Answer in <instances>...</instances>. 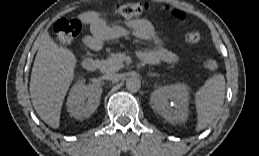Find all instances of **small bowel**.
Returning a JSON list of instances; mask_svg holds the SVG:
<instances>
[{"label":"small bowel","instance_id":"c3829d8e","mask_svg":"<svg viewBox=\"0 0 259 156\" xmlns=\"http://www.w3.org/2000/svg\"><path fill=\"white\" fill-rule=\"evenodd\" d=\"M80 20L91 31V35L84 38L85 45L90 49L95 44L100 46L105 39L132 35L155 45L153 50L142 53L144 61L174 62L176 60V56L163 45L153 25L146 19L134 18L123 23L108 24L105 12L87 11L80 15Z\"/></svg>","mask_w":259,"mask_h":156}]
</instances>
